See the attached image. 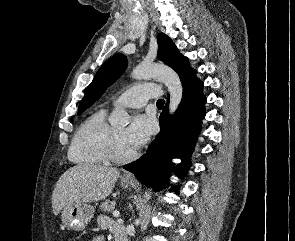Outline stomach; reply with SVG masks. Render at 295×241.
Masks as SVG:
<instances>
[{
  "label": "stomach",
  "mask_w": 295,
  "mask_h": 241,
  "mask_svg": "<svg viewBox=\"0 0 295 241\" xmlns=\"http://www.w3.org/2000/svg\"><path fill=\"white\" fill-rule=\"evenodd\" d=\"M125 189H130L133 185L131 181H121ZM94 208L86 203H74L67 205L62 210V221L65 225L75 231H82L93 218Z\"/></svg>",
  "instance_id": "0dacf381"
}]
</instances>
